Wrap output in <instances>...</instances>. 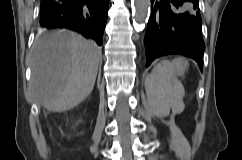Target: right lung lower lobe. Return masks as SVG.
Returning <instances> with one entry per match:
<instances>
[{
    "instance_id": "obj_1",
    "label": "right lung lower lobe",
    "mask_w": 242,
    "mask_h": 160,
    "mask_svg": "<svg viewBox=\"0 0 242 160\" xmlns=\"http://www.w3.org/2000/svg\"><path fill=\"white\" fill-rule=\"evenodd\" d=\"M109 0H41L42 29L67 28L102 45Z\"/></svg>"
}]
</instances>
